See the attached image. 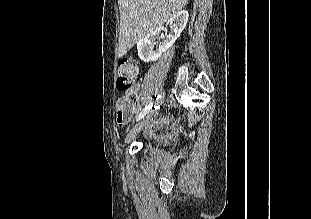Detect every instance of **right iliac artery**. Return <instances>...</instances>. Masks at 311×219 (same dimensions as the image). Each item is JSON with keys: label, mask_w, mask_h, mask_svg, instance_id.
<instances>
[{"label": "right iliac artery", "mask_w": 311, "mask_h": 219, "mask_svg": "<svg viewBox=\"0 0 311 219\" xmlns=\"http://www.w3.org/2000/svg\"><path fill=\"white\" fill-rule=\"evenodd\" d=\"M160 97V96H159ZM152 104L150 103L148 106H146L141 113L139 114V116L137 117V120H140L142 118H144V116L149 112V110L152 108Z\"/></svg>", "instance_id": "82829eb1"}]
</instances>
